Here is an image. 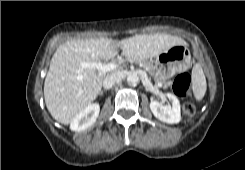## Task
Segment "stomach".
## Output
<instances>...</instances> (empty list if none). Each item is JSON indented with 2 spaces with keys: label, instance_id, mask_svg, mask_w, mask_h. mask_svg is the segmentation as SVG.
<instances>
[{
  "label": "stomach",
  "instance_id": "obj_1",
  "mask_svg": "<svg viewBox=\"0 0 245 170\" xmlns=\"http://www.w3.org/2000/svg\"><path fill=\"white\" fill-rule=\"evenodd\" d=\"M154 64L159 77L165 80L187 70L191 56L185 45H175L155 56Z\"/></svg>",
  "mask_w": 245,
  "mask_h": 170
}]
</instances>
